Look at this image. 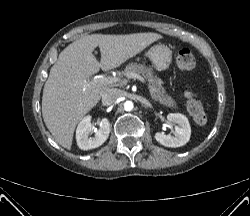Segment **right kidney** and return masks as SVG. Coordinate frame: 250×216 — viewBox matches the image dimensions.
<instances>
[{"label":"right kidney","mask_w":250,"mask_h":216,"mask_svg":"<svg viewBox=\"0 0 250 216\" xmlns=\"http://www.w3.org/2000/svg\"><path fill=\"white\" fill-rule=\"evenodd\" d=\"M100 128L97 130L91 123V116L84 117L76 130L77 145L82 150H89L101 146L108 138L110 133V123L107 118L99 122ZM95 132L93 137L90 135Z\"/></svg>","instance_id":"ca27d5eb"}]
</instances>
